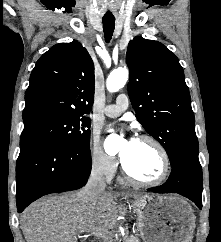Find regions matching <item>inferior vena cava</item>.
Listing matches in <instances>:
<instances>
[{
  "mask_svg": "<svg viewBox=\"0 0 221 242\" xmlns=\"http://www.w3.org/2000/svg\"><path fill=\"white\" fill-rule=\"evenodd\" d=\"M106 183L104 179V171L100 166H93L89 180L84 187V193L93 198L105 190Z\"/></svg>",
  "mask_w": 221,
  "mask_h": 242,
  "instance_id": "1",
  "label": "inferior vena cava"
}]
</instances>
